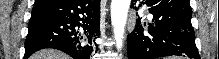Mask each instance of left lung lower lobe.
<instances>
[{
    "label": "left lung lower lobe",
    "mask_w": 219,
    "mask_h": 59,
    "mask_svg": "<svg viewBox=\"0 0 219 59\" xmlns=\"http://www.w3.org/2000/svg\"><path fill=\"white\" fill-rule=\"evenodd\" d=\"M142 4L150 7L153 19L150 23L137 19L134 31L127 37L128 59H157L172 55L200 59L189 0H143L138 4L133 0L131 8L137 9Z\"/></svg>",
    "instance_id": "left-lung-lower-lobe-1"
}]
</instances>
